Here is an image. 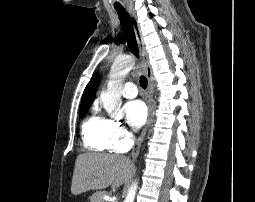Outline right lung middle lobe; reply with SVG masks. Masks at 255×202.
I'll use <instances>...</instances> for the list:
<instances>
[{
    "mask_svg": "<svg viewBox=\"0 0 255 202\" xmlns=\"http://www.w3.org/2000/svg\"><path fill=\"white\" fill-rule=\"evenodd\" d=\"M89 107H90V106H81V107H80V116H81V117H83V116L86 114V112H87V110L89 109Z\"/></svg>",
    "mask_w": 255,
    "mask_h": 202,
    "instance_id": "obj_1",
    "label": "right lung middle lobe"
}]
</instances>
